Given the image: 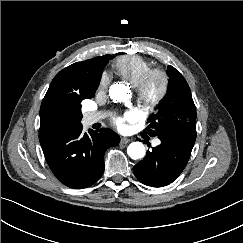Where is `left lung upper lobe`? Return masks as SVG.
I'll return each mask as SVG.
<instances>
[{"mask_svg":"<svg viewBox=\"0 0 243 243\" xmlns=\"http://www.w3.org/2000/svg\"><path fill=\"white\" fill-rule=\"evenodd\" d=\"M167 94L148 118L147 133L176 140L193 148L196 140V108L184 77L172 66L167 68Z\"/></svg>","mask_w":243,"mask_h":243,"instance_id":"obj_1","label":"left lung upper lobe"}]
</instances>
